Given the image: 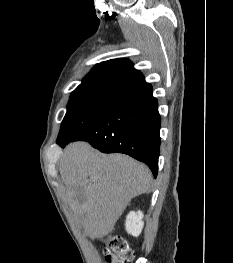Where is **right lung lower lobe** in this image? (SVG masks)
<instances>
[{
	"label": "right lung lower lobe",
	"instance_id": "98d812e1",
	"mask_svg": "<svg viewBox=\"0 0 233 263\" xmlns=\"http://www.w3.org/2000/svg\"><path fill=\"white\" fill-rule=\"evenodd\" d=\"M160 115L151 84L144 83L116 97L92 126L69 140H57L64 147L84 140L105 153L119 152L144 162L156 177L160 154Z\"/></svg>",
	"mask_w": 233,
	"mask_h": 263
}]
</instances>
